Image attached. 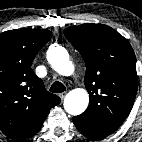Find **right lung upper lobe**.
<instances>
[{"mask_svg":"<svg viewBox=\"0 0 142 142\" xmlns=\"http://www.w3.org/2000/svg\"><path fill=\"white\" fill-rule=\"evenodd\" d=\"M51 37L49 30L28 28L0 34V130L14 140L37 134L50 109L60 103L31 69Z\"/></svg>","mask_w":142,"mask_h":142,"instance_id":"obj_1","label":"right lung upper lobe"}]
</instances>
